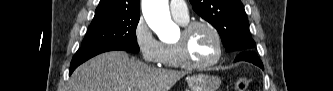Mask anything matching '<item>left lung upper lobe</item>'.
<instances>
[{
	"label": "left lung upper lobe",
	"instance_id": "1",
	"mask_svg": "<svg viewBox=\"0 0 333 91\" xmlns=\"http://www.w3.org/2000/svg\"><path fill=\"white\" fill-rule=\"evenodd\" d=\"M194 11L218 31L227 52L253 50L248 19L240 0H190Z\"/></svg>",
	"mask_w": 333,
	"mask_h": 91
}]
</instances>
